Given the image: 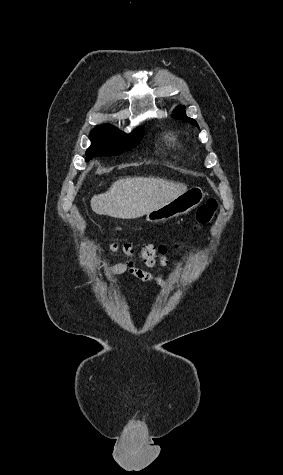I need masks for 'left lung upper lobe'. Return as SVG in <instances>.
I'll use <instances>...</instances> for the list:
<instances>
[{"label": "left lung upper lobe", "mask_w": 283, "mask_h": 475, "mask_svg": "<svg viewBox=\"0 0 283 475\" xmlns=\"http://www.w3.org/2000/svg\"><path fill=\"white\" fill-rule=\"evenodd\" d=\"M174 118H177V119H181L182 121L184 122H190L191 124H193L194 126H198L197 122L192 119V118H189L186 116L185 114V107H182V106H178L173 115H172Z\"/></svg>", "instance_id": "1"}]
</instances>
